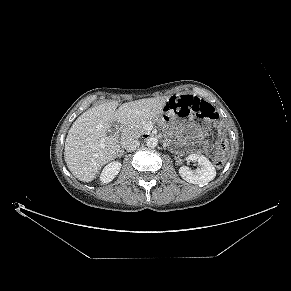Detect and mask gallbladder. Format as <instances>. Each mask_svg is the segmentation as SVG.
<instances>
[{"label":"gallbladder","instance_id":"bac80fb5","mask_svg":"<svg viewBox=\"0 0 291 291\" xmlns=\"http://www.w3.org/2000/svg\"><path fill=\"white\" fill-rule=\"evenodd\" d=\"M115 130H116V125L113 124V125L111 126V132H110L109 134H110V135H114V134H115Z\"/></svg>","mask_w":291,"mask_h":291}]
</instances>
